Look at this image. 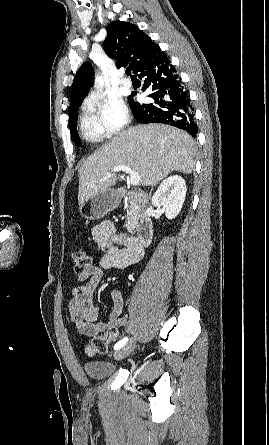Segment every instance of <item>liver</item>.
Here are the masks:
<instances>
[{
  "instance_id": "liver-1",
  "label": "liver",
  "mask_w": 269,
  "mask_h": 445,
  "mask_svg": "<svg viewBox=\"0 0 269 445\" xmlns=\"http://www.w3.org/2000/svg\"><path fill=\"white\" fill-rule=\"evenodd\" d=\"M194 153V140L171 126L138 125L122 131L79 168V205L121 180L120 174L106 175L115 166H129L140 175L143 186H153L172 171L192 173Z\"/></svg>"
}]
</instances>
